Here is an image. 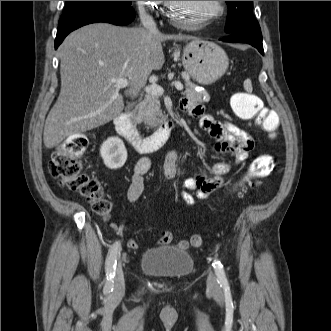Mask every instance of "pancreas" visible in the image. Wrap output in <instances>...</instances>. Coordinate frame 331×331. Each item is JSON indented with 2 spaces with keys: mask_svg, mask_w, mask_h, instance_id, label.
I'll use <instances>...</instances> for the list:
<instances>
[{
  "mask_svg": "<svg viewBox=\"0 0 331 331\" xmlns=\"http://www.w3.org/2000/svg\"><path fill=\"white\" fill-rule=\"evenodd\" d=\"M182 78L185 79L186 90L184 94L187 98L195 102L209 101V95L205 92H198L195 90V85L189 81V75L182 72ZM134 118L137 123L143 122L148 127L154 128L161 124L164 115L160 109L159 95L147 94L145 98L136 106L134 110Z\"/></svg>",
  "mask_w": 331,
  "mask_h": 331,
  "instance_id": "cf45deb5",
  "label": "pancreas"
}]
</instances>
